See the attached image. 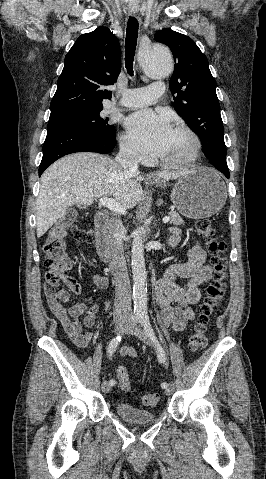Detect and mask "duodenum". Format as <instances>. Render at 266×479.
Returning <instances> with one entry per match:
<instances>
[{
    "mask_svg": "<svg viewBox=\"0 0 266 479\" xmlns=\"http://www.w3.org/2000/svg\"><path fill=\"white\" fill-rule=\"evenodd\" d=\"M110 222L109 216L98 211L94 218V242L99 258L104 262L111 260V250L108 240L107 226Z\"/></svg>",
    "mask_w": 266,
    "mask_h": 479,
    "instance_id": "410a0bca",
    "label": "duodenum"
}]
</instances>
